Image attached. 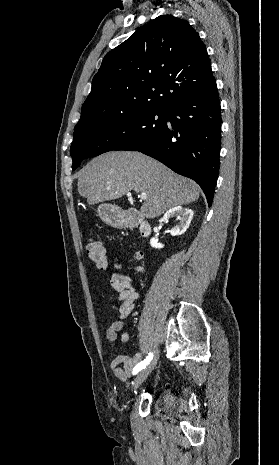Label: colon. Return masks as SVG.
<instances>
[{"label":"colon","mask_w":279,"mask_h":465,"mask_svg":"<svg viewBox=\"0 0 279 465\" xmlns=\"http://www.w3.org/2000/svg\"><path fill=\"white\" fill-rule=\"evenodd\" d=\"M87 254L90 260L99 268L106 269L108 266L107 254L103 244L97 239H90L86 246ZM137 259L141 257L140 254L136 255ZM140 271V267L134 268Z\"/></svg>","instance_id":"1"}]
</instances>
